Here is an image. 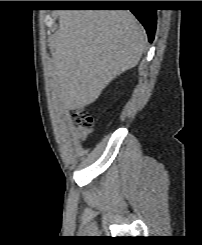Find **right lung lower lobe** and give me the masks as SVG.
Here are the masks:
<instances>
[{
    "label": "right lung lower lobe",
    "mask_w": 202,
    "mask_h": 245,
    "mask_svg": "<svg viewBox=\"0 0 202 245\" xmlns=\"http://www.w3.org/2000/svg\"><path fill=\"white\" fill-rule=\"evenodd\" d=\"M132 5V9L130 11L137 17V19L142 23L145 27L146 32L148 34L149 42H152L155 35L156 29V10L147 9L141 7L143 5L142 1H132L127 5H121L120 3H87L86 6H128Z\"/></svg>",
    "instance_id": "1"
}]
</instances>
